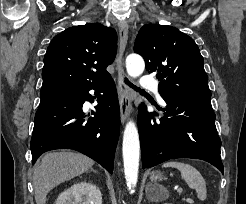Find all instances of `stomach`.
I'll use <instances>...</instances> for the list:
<instances>
[{
    "label": "stomach",
    "instance_id": "obj_1",
    "mask_svg": "<svg viewBox=\"0 0 246 204\" xmlns=\"http://www.w3.org/2000/svg\"><path fill=\"white\" fill-rule=\"evenodd\" d=\"M152 181H157L162 179V173L161 172H152L151 174Z\"/></svg>",
    "mask_w": 246,
    "mask_h": 204
}]
</instances>
